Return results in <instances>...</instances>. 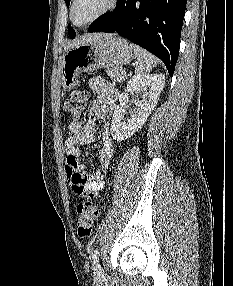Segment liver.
<instances>
[{
  "label": "liver",
  "instance_id": "6515ba94",
  "mask_svg": "<svg viewBox=\"0 0 233 286\" xmlns=\"http://www.w3.org/2000/svg\"><path fill=\"white\" fill-rule=\"evenodd\" d=\"M98 36H100V34H97V35H94V36H89V37H87V38H84V39H82L81 41H78V42H73L69 47H67L66 49H68V48H70V47H73V46H76V45H78V44H80V43H84V42H86V41H90V40H92L93 38H95V37H98Z\"/></svg>",
  "mask_w": 233,
  "mask_h": 286
}]
</instances>
